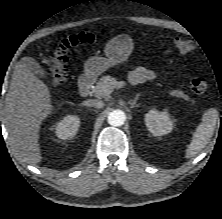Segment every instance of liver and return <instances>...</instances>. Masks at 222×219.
<instances>
[{"mask_svg": "<svg viewBox=\"0 0 222 219\" xmlns=\"http://www.w3.org/2000/svg\"><path fill=\"white\" fill-rule=\"evenodd\" d=\"M28 58H22L15 65L5 100V123L21 159L37 165L42 160L40 125L52 112L53 106L48 87L26 64Z\"/></svg>", "mask_w": 222, "mask_h": 219, "instance_id": "6515ba94", "label": "liver"}]
</instances>
